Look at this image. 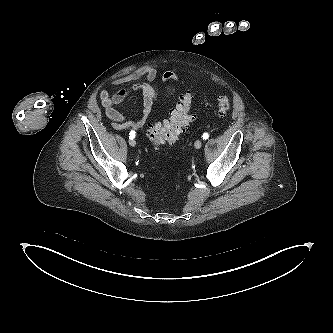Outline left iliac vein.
Returning <instances> with one entry per match:
<instances>
[{
    "instance_id": "left-iliac-vein-1",
    "label": "left iliac vein",
    "mask_w": 333,
    "mask_h": 333,
    "mask_svg": "<svg viewBox=\"0 0 333 333\" xmlns=\"http://www.w3.org/2000/svg\"><path fill=\"white\" fill-rule=\"evenodd\" d=\"M195 148L196 149H199V148H201V146H202V143H201V141L200 140H197L196 142H195Z\"/></svg>"
}]
</instances>
